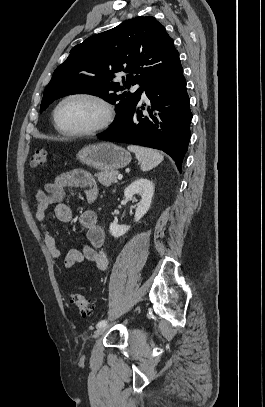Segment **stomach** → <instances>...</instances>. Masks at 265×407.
<instances>
[{
    "instance_id": "obj_1",
    "label": "stomach",
    "mask_w": 265,
    "mask_h": 407,
    "mask_svg": "<svg viewBox=\"0 0 265 407\" xmlns=\"http://www.w3.org/2000/svg\"><path fill=\"white\" fill-rule=\"evenodd\" d=\"M77 159L100 171H117L130 163L131 155L120 146L103 142L85 146L78 152Z\"/></svg>"
}]
</instances>
